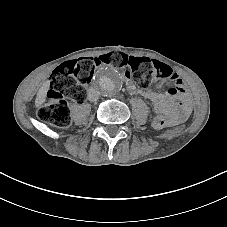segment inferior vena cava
Listing matches in <instances>:
<instances>
[{
	"label": "inferior vena cava",
	"instance_id": "obj_1",
	"mask_svg": "<svg viewBox=\"0 0 227 227\" xmlns=\"http://www.w3.org/2000/svg\"><path fill=\"white\" fill-rule=\"evenodd\" d=\"M88 100L91 102H96L99 99L98 91L95 88H89L87 91Z\"/></svg>",
	"mask_w": 227,
	"mask_h": 227
}]
</instances>
